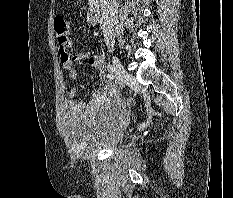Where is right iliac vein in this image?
Masks as SVG:
<instances>
[{"label": "right iliac vein", "mask_w": 233, "mask_h": 198, "mask_svg": "<svg viewBox=\"0 0 233 198\" xmlns=\"http://www.w3.org/2000/svg\"><path fill=\"white\" fill-rule=\"evenodd\" d=\"M111 67H112L113 72L117 78L118 83L121 86H124L126 83V80L129 77V74L127 73V71L125 70V68L121 64L120 60L116 56L112 57V66Z\"/></svg>", "instance_id": "1"}]
</instances>
